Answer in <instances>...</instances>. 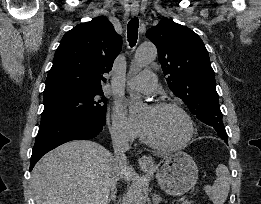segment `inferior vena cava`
<instances>
[{"instance_id": "inferior-vena-cava-1", "label": "inferior vena cava", "mask_w": 261, "mask_h": 204, "mask_svg": "<svg viewBox=\"0 0 261 204\" xmlns=\"http://www.w3.org/2000/svg\"><path fill=\"white\" fill-rule=\"evenodd\" d=\"M111 138L114 149L111 189H114L120 178V170L127 165V157L125 153L129 150L130 146L127 136L120 131H113L111 133Z\"/></svg>"}]
</instances>
